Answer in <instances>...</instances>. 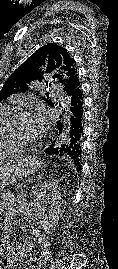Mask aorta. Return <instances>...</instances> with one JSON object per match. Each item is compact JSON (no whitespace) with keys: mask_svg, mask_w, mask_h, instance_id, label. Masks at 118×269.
Wrapping results in <instances>:
<instances>
[{"mask_svg":"<svg viewBox=\"0 0 118 269\" xmlns=\"http://www.w3.org/2000/svg\"><path fill=\"white\" fill-rule=\"evenodd\" d=\"M61 137V136H60ZM60 137H59V139H60ZM58 143V141L55 143V145Z\"/></svg>","mask_w":118,"mask_h":269,"instance_id":"1","label":"aorta"}]
</instances>
